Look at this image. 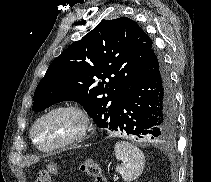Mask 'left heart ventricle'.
Segmentation results:
<instances>
[{
  "instance_id": "b2bd125f",
  "label": "left heart ventricle",
  "mask_w": 211,
  "mask_h": 182,
  "mask_svg": "<svg viewBox=\"0 0 211 182\" xmlns=\"http://www.w3.org/2000/svg\"><path fill=\"white\" fill-rule=\"evenodd\" d=\"M80 126V121L71 112H57L40 122L35 131V138L40 145L56 144L73 133Z\"/></svg>"
}]
</instances>
